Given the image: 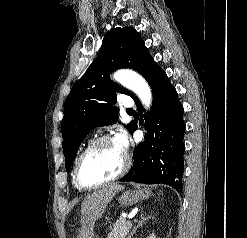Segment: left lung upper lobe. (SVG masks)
<instances>
[{
  "instance_id": "obj_1",
  "label": "left lung upper lobe",
  "mask_w": 247,
  "mask_h": 238,
  "mask_svg": "<svg viewBox=\"0 0 247 238\" xmlns=\"http://www.w3.org/2000/svg\"><path fill=\"white\" fill-rule=\"evenodd\" d=\"M140 34L132 27H117L106 33L97 58L73 85L64 103L62 121L63 153L66 171L76 156L82 140L96 126L118 121L116 93L133 96L114 83L109 73L119 68H132L146 80L157 67ZM134 122L126 128L131 132Z\"/></svg>"
}]
</instances>
